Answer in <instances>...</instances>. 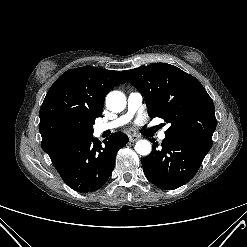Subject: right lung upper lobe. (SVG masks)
Wrapping results in <instances>:
<instances>
[{
    "instance_id": "obj_1",
    "label": "right lung upper lobe",
    "mask_w": 247,
    "mask_h": 247,
    "mask_svg": "<svg viewBox=\"0 0 247 247\" xmlns=\"http://www.w3.org/2000/svg\"><path fill=\"white\" fill-rule=\"evenodd\" d=\"M125 82L120 71L93 66L70 69L54 82L39 113L41 145L50 159L89 135L95 119L102 115L106 94Z\"/></svg>"
}]
</instances>
